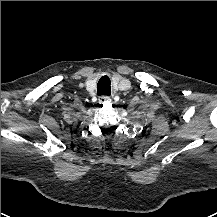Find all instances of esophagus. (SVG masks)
Listing matches in <instances>:
<instances>
[{
    "mask_svg": "<svg viewBox=\"0 0 217 217\" xmlns=\"http://www.w3.org/2000/svg\"><path fill=\"white\" fill-rule=\"evenodd\" d=\"M111 101L112 100H111V98L109 96H101V97H99V103H101V104L106 105V104H109Z\"/></svg>",
    "mask_w": 217,
    "mask_h": 217,
    "instance_id": "34e87169",
    "label": "esophagus"
}]
</instances>
